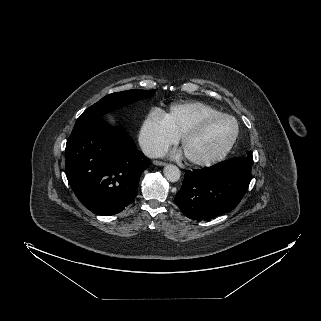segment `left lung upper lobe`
Here are the masks:
<instances>
[{"instance_id": "1", "label": "left lung upper lobe", "mask_w": 321, "mask_h": 321, "mask_svg": "<svg viewBox=\"0 0 321 321\" xmlns=\"http://www.w3.org/2000/svg\"><path fill=\"white\" fill-rule=\"evenodd\" d=\"M247 156L253 157V156H252V152H251V151H248V152H247Z\"/></svg>"}]
</instances>
